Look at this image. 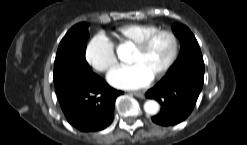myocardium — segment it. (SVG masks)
Here are the masks:
<instances>
[{
  "instance_id": "1",
  "label": "myocardium",
  "mask_w": 247,
  "mask_h": 145,
  "mask_svg": "<svg viewBox=\"0 0 247 145\" xmlns=\"http://www.w3.org/2000/svg\"><path fill=\"white\" fill-rule=\"evenodd\" d=\"M160 35L169 36L170 39L172 40L173 47H172V52H171V55L168 61L165 63V65L162 68H160L153 75V79H159L162 76H164L176 62L178 58V54H179V48H180L178 36L176 35L174 31L170 29H158L150 33L149 35H147L141 41H139L138 43L134 45V49H136L139 52H143L150 46V44L154 41V39H156Z\"/></svg>"
}]
</instances>
